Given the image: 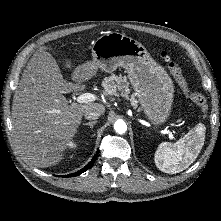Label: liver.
Instances as JSON below:
<instances>
[{
	"mask_svg": "<svg viewBox=\"0 0 221 221\" xmlns=\"http://www.w3.org/2000/svg\"><path fill=\"white\" fill-rule=\"evenodd\" d=\"M40 47L28 62L13 96L12 125L19 151L35 166L50 167L65 156L88 110L105 112L100 102L72 103L58 90L63 79L55 58ZM66 59L65 67L72 68ZM96 72H94V75Z\"/></svg>",
	"mask_w": 221,
	"mask_h": 221,
	"instance_id": "1",
	"label": "liver"
}]
</instances>
